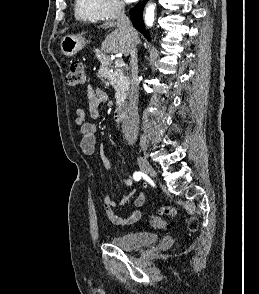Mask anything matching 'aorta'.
Returning <instances> with one entry per match:
<instances>
[{
  "instance_id": "obj_1",
  "label": "aorta",
  "mask_w": 259,
  "mask_h": 294,
  "mask_svg": "<svg viewBox=\"0 0 259 294\" xmlns=\"http://www.w3.org/2000/svg\"><path fill=\"white\" fill-rule=\"evenodd\" d=\"M155 5L154 4H149L148 7L146 8V13H145V23L147 26H152L154 19H155Z\"/></svg>"
}]
</instances>
